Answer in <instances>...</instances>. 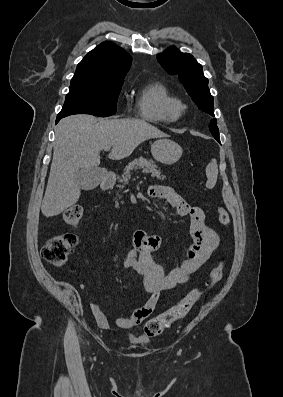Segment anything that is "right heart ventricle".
I'll return each mask as SVG.
<instances>
[{
	"instance_id": "e07e8e85",
	"label": "right heart ventricle",
	"mask_w": 283,
	"mask_h": 397,
	"mask_svg": "<svg viewBox=\"0 0 283 397\" xmlns=\"http://www.w3.org/2000/svg\"><path fill=\"white\" fill-rule=\"evenodd\" d=\"M177 97L161 82L152 81L137 93V109L141 118L154 123H170L179 117L174 110Z\"/></svg>"
}]
</instances>
